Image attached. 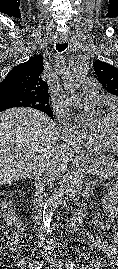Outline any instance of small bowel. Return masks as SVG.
Masks as SVG:
<instances>
[{"instance_id":"c3829d8e","label":"small bowel","mask_w":118,"mask_h":269,"mask_svg":"<svg viewBox=\"0 0 118 269\" xmlns=\"http://www.w3.org/2000/svg\"><path fill=\"white\" fill-rule=\"evenodd\" d=\"M112 214H118V193L112 196ZM112 242H118V231L114 232L112 235ZM90 246L93 249L103 251L106 254V257L109 261L115 263L118 266V251L107 241H105L100 236H93L90 240ZM20 269H24L21 267Z\"/></svg>"}]
</instances>
